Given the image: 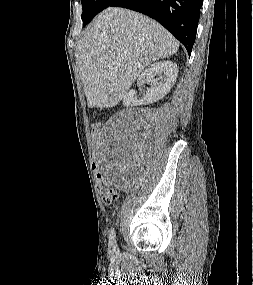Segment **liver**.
<instances>
[{
    "mask_svg": "<svg viewBox=\"0 0 253 285\" xmlns=\"http://www.w3.org/2000/svg\"><path fill=\"white\" fill-rule=\"evenodd\" d=\"M178 49L179 42L153 19L128 9H105L76 47L88 107L116 106L147 65Z\"/></svg>",
    "mask_w": 253,
    "mask_h": 285,
    "instance_id": "obj_1",
    "label": "liver"
}]
</instances>
